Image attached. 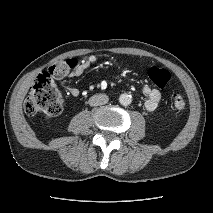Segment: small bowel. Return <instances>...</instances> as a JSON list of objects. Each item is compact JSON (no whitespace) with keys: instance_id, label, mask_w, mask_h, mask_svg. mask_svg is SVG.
<instances>
[{"instance_id":"obj_1","label":"small bowel","mask_w":213,"mask_h":213,"mask_svg":"<svg viewBox=\"0 0 213 213\" xmlns=\"http://www.w3.org/2000/svg\"><path fill=\"white\" fill-rule=\"evenodd\" d=\"M97 61L98 59L95 55H88L83 57L79 62L76 63L75 67L70 70L68 74L69 78H76L81 76L84 72L96 65ZM119 64L120 62L116 61L111 65V67L116 68L119 66ZM66 90L73 97L79 96L80 92L75 87H67ZM142 91L146 96V100L144 103L145 109L148 112H153L158 107L161 101L160 91L150 87L149 85H144L142 87Z\"/></svg>"}]
</instances>
